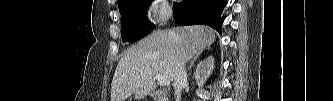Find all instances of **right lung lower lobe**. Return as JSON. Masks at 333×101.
I'll return each instance as SVG.
<instances>
[{
	"label": "right lung lower lobe",
	"mask_w": 333,
	"mask_h": 101,
	"mask_svg": "<svg viewBox=\"0 0 333 101\" xmlns=\"http://www.w3.org/2000/svg\"><path fill=\"white\" fill-rule=\"evenodd\" d=\"M227 0H183L174 5V19L180 25L204 24L221 33V13Z\"/></svg>",
	"instance_id": "right-lung-lower-lobe-1"
}]
</instances>
